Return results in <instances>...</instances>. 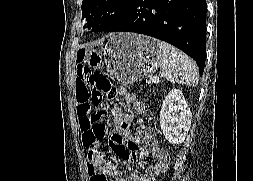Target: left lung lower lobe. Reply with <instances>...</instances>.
<instances>
[{"label":"left lung lower lobe","instance_id":"0a47b994","mask_svg":"<svg viewBox=\"0 0 253 181\" xmlns=\"http://www.w3.org/2000/svg\"><path fill=\"white\" fill-rule=\"evenodd\" d=\"M206 10V0H133L125 15L106 32H135L168 42L192 57L202 76Z\"/></svg>","mask_w":253,"mask_h":181}]
</instances>
